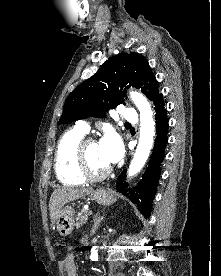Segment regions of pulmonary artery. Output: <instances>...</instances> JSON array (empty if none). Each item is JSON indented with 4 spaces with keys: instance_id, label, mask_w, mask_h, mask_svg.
Returning <instances> with one entry per match:
<instances>
[{
    "instance_id": "e3ab8cb5",
    "label": "pulmonary artery",
    "mask_w": 221,
    "mask_h": 276,
    "mask_svg": "<svg viewBox=\"0 0 221 276\" xmlns=\"http://www.w3.org/2000/svg\"><path fill=\"white\" fill-rule=\"evenodd\" d=\"M122 117L127 121L134 122L137 119V114L133 108L125 107L122 110ZM77 128L84 133H87L90 129L89 124L85 121H79L77 123Z\"/></svg>"
}]
</instances>
